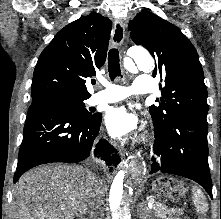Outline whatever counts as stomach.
Returning a JSON list of instances; mask_svg holds the SVG:
<instances>
[{
  "label": "stomach",
  "mask_w": 221,
  "mask_h": 219,
  "mask_svg": "<svg viewBox=\"0 0 221 219\" xmlns=\"http://www.w3.org/2000/svg\"><path fill=\"white\" fill-rule=\"evenodd\" d=\"M171 183H177V178H157L152 182L151 190L153 199H172V195H180L184 191L182 184H177L172 190Z\"/></svg>",
  "instance_id": "obj_1"
}]
</instances>
